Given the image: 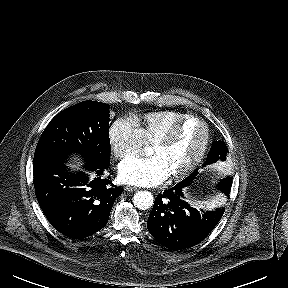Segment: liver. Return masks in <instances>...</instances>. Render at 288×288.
<instances>
[{"label": "liver", "instance_id": "liver-1", "mask_svg": "<svg viewBox=\"0 0 288 288\" xmlns=\"http://www.w3.org/2000/svg\"><path fill=\"white\" fill-rule=\"evenodd\" d=\"M71 166V168H76V169H78L79 168V165H70Z\"/></svg>", "mask_w": 288, "mask_h": 288}]
</instances>
